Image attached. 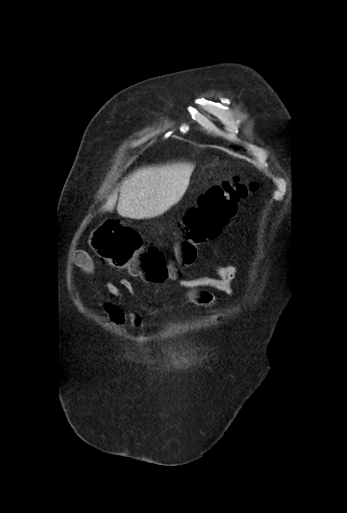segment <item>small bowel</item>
Returning <instances> with one entry per match:
<instances>
[{
  "label": "small bowel",
  "instance_id": "c3829d8e",
  "mask_svg": "<svg viewBox=\"0 0 347 513\" xmlns=\"http://www.w3.org/2000/svg\"><path fill=\"white\" fill-rule=\"evenodd\" d=\"M72 262L75 267L85 274H94L93 262L86 253L77 252ZM213 272L214 276H199L185 279L179 274L173 279L178 281V285L185 292L189 303L212 310L216 306L214 291L222 292L228 296L239 294L236 282L240 275V269L235 265H214ZM121 285L128 292H133V285L129 279H122ZM105 291L114 297L122 295L121 290L114 285H105ZM101 313L105 319L119 326L129 323L133 329H143L145 327V319L141 313L135 311L126 312L119 305L108 299L103 301ZM152 314H157V311L154 310Z\"/></svg>",
  "mask_w": 347,
  "mask_h": 513
}]
</instances>
